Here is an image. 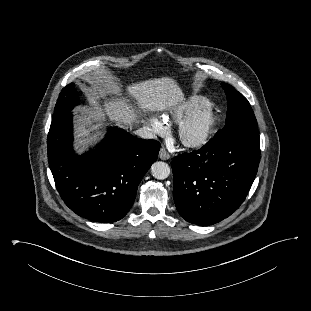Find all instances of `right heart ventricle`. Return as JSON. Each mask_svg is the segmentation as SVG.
<instances>
[{
    "label": "right heart ventricle",
    "instance_id": "right-heart-ventricle-1",
    "mask_svg": "<svg viewBox=\"0 0 311 311\" xmlns=\"http://www.w3.org/2000/svg\"><path fill=\"white\" fill-rule=\"evenodd\" d=\"M209 105L208 98L201 95H192L174 105L163 118L167 123L181 122L186 117Z\"/></svg>",
    "mask_w": 311,
    "mask_h": 311
}]
</instances>
